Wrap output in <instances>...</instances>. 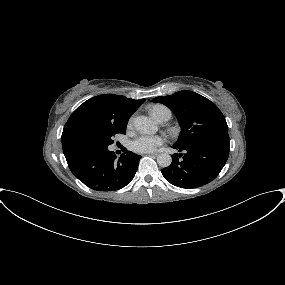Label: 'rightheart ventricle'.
<instances>
[{
	"mask_svg": "<svg viewBox=\"0 0 285 285\" xmlns=\"http://www.w3.org/2000/svg\"><path fill=\"white\" fill-rule=\"evenodd\" d=\"M150 113L158 121L169 120L171 117L170 109L164 105L159 104L150 107Z\"/></svg>",
	"mask_w": 285,
	"mask_h": 285,
	"instance_id": "obj_1",
	"label": "right heart ventricle"
}]
</instances>
